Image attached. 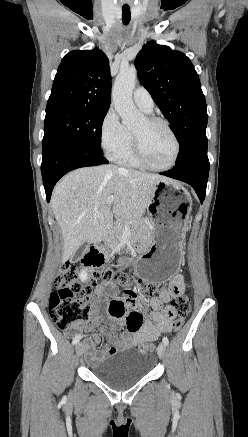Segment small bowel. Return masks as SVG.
<instances>
[{
    "instance_id": "obj_1",
    "label": "small bowel",
    "mask_w": 248,
    "mask_h": 437,
    "mask_svg": "<svg viewBox=\"0 0 248 437\" xmlns=\"http://www.w3.org/2000/svg\"><path fill=\"white\" fill-rule=\"evenodd\" d=\"M185 290L184 277L176 275L170 282L168 288H163L158 297L150 300L152 312L148 317L143 318L138 309L137 295L129 290L125 291V296L116 291L115 285L111 282L103 281L98 283L90 297L91 303L101 310H108L109 314H99L95 321L87 326L74 325L66 330L68 336L81 335L84 329H92L101 322H107L110 329L106 332L108 344L103 350H97L94 343L100 341L98 335L85 344L86 360L91 365L100 363L107 357L117 353L121 349L136 347L143 343L155 341L162 334L172 330V316L169 314L167 305L171 297L183 293ZM112 294L110 302L107 296ZM125 323L128 330L119 333L115 323Z\"/></svg>"
}]
</instances>
